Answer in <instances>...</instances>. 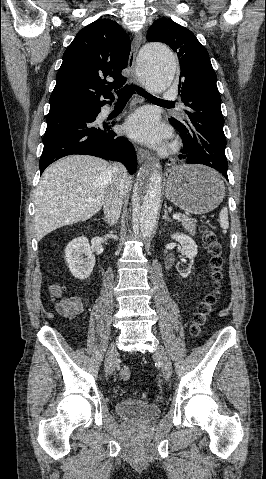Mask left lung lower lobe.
Instances as JSON below:
<instances>
[{"label": "left lung lower lobe", "instance_id": "left-lung-lower-lobe-1", "mask_svg": "<svg viewBox=\"0 0 266 479\" xmlns=\"http://www.w3.org/2000/svg\"><path fill=\"white\" fill-rule=\"evenodd\" d=\"M184 144V142H183ZM178 157L180 159H186L187 160V163H191V164H202L200 163L197 159L191 157V155L188 153L186 147L184 146V148L181 150V154L178 155ZM205 165V164H204ZM209 167H212V168H215L216 170H218L219 172H221L225 178L228 180V175H227V169H228V163L227 162H222L220 160L216 161L215 163L213 164H210V165H207Z\"/></svg>", "mask_w": 266, "mask_h": 479}]
</instances>
